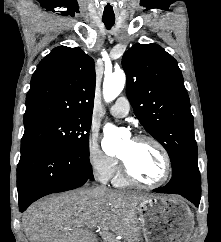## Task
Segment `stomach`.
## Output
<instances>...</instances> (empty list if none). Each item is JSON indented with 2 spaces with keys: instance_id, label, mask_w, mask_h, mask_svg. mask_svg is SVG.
I'll use <instances>...</instances> for the list:
<instances>
[{
  "instance_id": "1",
  "label": "stomach",
  "mask_w": 221,
  "mask_h": 242,
  "mask_svg": "<svg viewBox=\"0 0 221 242\" xmlns=\"http://www.w3.org/2000/svg\"><path fill=\"white\" fill-rule=\"evenodd\" d=\"M137 213L145 242H188L194 229V215L179 197L151 196Z\"/></svg>"
}]
</instances>
